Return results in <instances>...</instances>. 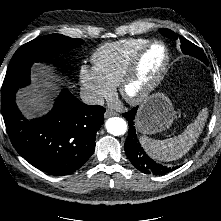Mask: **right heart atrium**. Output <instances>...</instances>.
Segmentation results:
<instances>
[{
  "label": "right heart atrium",
  "instance_id": "d8ad5b80",
  "mask_svg": "<svg viewBox=\"0 0 221 221\" xmlns=\"http://www.w3.org/2000/svg\"><path fill=\"white\" fill-rule=\"evenodd\" d=\"M78 79L85 98L92 104H100L114 92V86L109 84L94 66L81 65Z\"/></svg>",
  "mask_w": 221,
  "mask_h": 221
}]
</instances>
